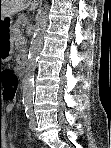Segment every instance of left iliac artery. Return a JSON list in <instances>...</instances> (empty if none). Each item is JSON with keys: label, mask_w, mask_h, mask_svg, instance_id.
Returning a JSON list of instances; mask_svg holds the SVG:
<instances>
[{"label": "left iliac artery", "mask_w": 111, "mask_h": 148, "mask_svg": "<svg viewBox=\"0 0 111 148\" xmlns=\"http://www.w3.org/2000/svg\"><path fill=\"white\" fill-rule=\"evenodd\" d=\"M25 112H26L27 117H29V115H31V106L30 105L25 106Z\"/></svg>", "instance_id": "44dca946"}]
</instances>
